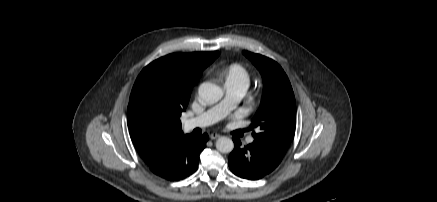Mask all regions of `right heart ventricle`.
I'll return each instance as SVG.
<instances>
[{
  "mask_svg": "<svg viewBox=\"0 0 437 202\" xmlns=\"http://www.w3.org/2000/svg\"><path fill=\"white\" fill-rule=\"evenodd\" d=\"M222 74L225 78L226 83L244 84L247 87L249 85V73L246 68L239 63H233L229 65Z\"/></svg>",
  "mask_w": 437,
  "mask_h": 202,
  "instance_id": "e07e8e85",
  "label": "right heart ventricle"
}]
</instances>
